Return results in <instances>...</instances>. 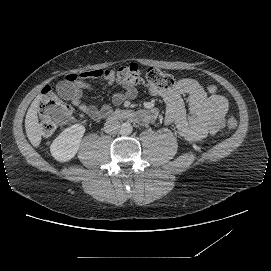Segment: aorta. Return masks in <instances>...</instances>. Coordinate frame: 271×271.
<instances>
[{"instance_id":"aorta-1","label":"aorta","mask_w":271,"mask_h":271,"mask_svg":"<svg viewBox=\"0 0 271 271\" xmlns=\"http://www.w3.org/2000/svg\"><path fill=\"white\" fill-rule=\"evenodd\" d=\"M133 131V127L130 123L125 122L120 127V133L122 135H130Z\"/></svg>"}]
</instances>
